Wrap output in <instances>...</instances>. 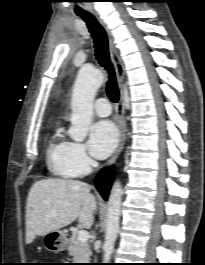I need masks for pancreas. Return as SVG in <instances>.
<instances>
[{
  "mask_svg": "<svg viewBox=\"0 0 205 265\" xmlns=\"http://www.w3.org/2000/svg\"><path fill=\"white\" fill-rule=\"evenodd\" d=\"M70 254L74 263H88L91 256L90 246L86 242H81L77 238L69 246Z\"/></svg>",
  "mask_w": 205,
  "mask_h": 265,
  "instance_id": "obj_1",
  "label": "pancreas"
}]
</instances>
